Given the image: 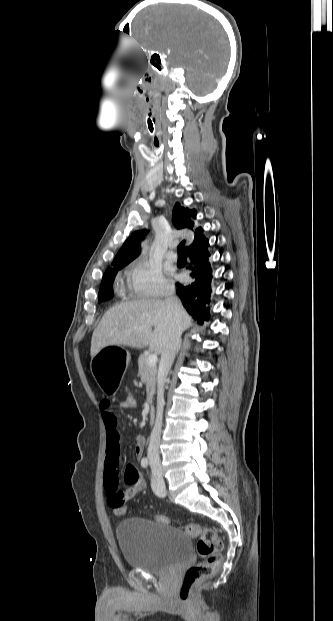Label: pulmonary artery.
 Segmentation results:
<instances>
[{
  "label": "pulmonary artery",
  "mask_w": 333,
  "mask_h": 621,
  "mask_svg": "<svg viewBox=\"0 0 333 621\" xmlns=\"http://www.w3.org/2000/svg\"><path fill=\"white\" fill-rule=\"evenodd\" d=\"M174 246L170 247V250L166 253V258L169 261H176L177 260V254L172 250Z\"/></svg>",
  "instance_id": "obj_1"
}]
</instances>
